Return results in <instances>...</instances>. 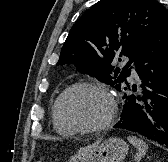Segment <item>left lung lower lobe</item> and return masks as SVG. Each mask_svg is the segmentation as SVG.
I'll return each mask as SVG.
<instances>
[{
  "label": "left lung lower lobe",
  "mask_w": 168,
  "mask_h": 162,
  "mask_svg": "<svg viewBox=\"0 0 168 162\" xmlns=\"http://www.w3.org/2000/svg\"><path fill=\"white\" fill-rule=\"evenodd\" d=\"M133 62L141 89L136 95H124L121 117L114 128L134 131L168 146V16ZM128 89L126 83L121 90ZM132 90L137 91L136 85Z\"/></svg>",
  "instance_id": "1"
}]
</instances>
